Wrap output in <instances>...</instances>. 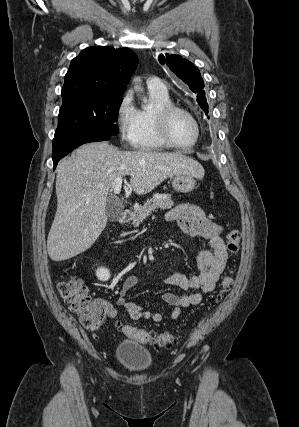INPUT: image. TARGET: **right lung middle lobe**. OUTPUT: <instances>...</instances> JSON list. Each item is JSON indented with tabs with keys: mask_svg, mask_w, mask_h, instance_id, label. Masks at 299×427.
<instances>
[{
	"mask_svg": "<svg viewBox=\"0 0 299 427\" xmlns=\"http://www.w3.org/2000/svg\"><path fill=\"white\" fill-rule=\"evenodd\" d=\"M123 98L80 94L63 99L53 146L78 137H110L118 133L116 121Z\"/></svg>",
	"mask_w": 299,
	"mask_h": 427,
	"instance_id": "obj_1",
	"label": "right lung middle lobe"
}]
</instances>
